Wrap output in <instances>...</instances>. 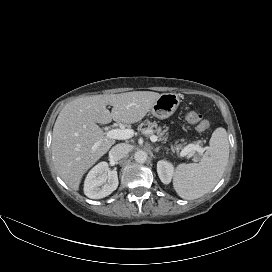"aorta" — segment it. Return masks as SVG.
Returning a JSON list of instances; mask_svg holds the SVG:
<instances>
[{"label": "aorta", "instance_id": "obj_1", "mask_svg": "<svg viewBox=\"0 0 272 272\" xmlns=\"http://www.w3.org/2000/svg\"><path fill=\"white\" fill-rule=\"evenodd\" d=\"M147 153L143 150H138L134 154V159L138 163H144L147 160Z\"/></svg>", "mask_w": 272, "mask_h": 272}]
</instances>
